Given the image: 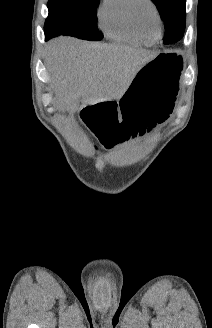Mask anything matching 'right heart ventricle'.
Instances as JSON below:
<instances>
[{
	"label": "right heart ventricle",
	"instance_id": "right-heart-ventricle-1",
	"mask_svg": "<svg viewBox=\"0 0 212 328\" xmlns=\"http://www.w3.org/2000/svg\"><path fill=\"white\" fill-rule=\"evenodd\" d=\"M131 0H103L98 10V24L102 32L112 40L150 45L157 40V33L141 35L134 28L129 9Z\"/></svg>",
	"mask_w": 212,
	"mask_h": 328
}]
</instances>
